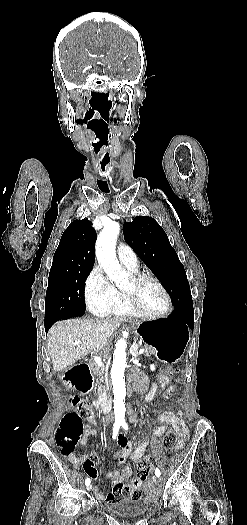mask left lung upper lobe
<instances>
[{
  "label": "left lung upper lobe",
  "mask_w": 247,
  "mask_h": 525,
  "mask_svg": "<svg viewBox=\"0 0 247 525\" xmlns=\"http://www.w3.org/2000/svg\"><path fill=\"white\" fill-rule=\"evenodd\" d=\"M123 234L128 245L163 284L174 308L193 306L184 266L157 221L137 216L124 223Z\"/></svg>",
  "instance_id": "obj_1"
}]
</instances>
